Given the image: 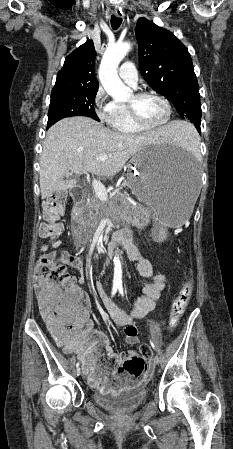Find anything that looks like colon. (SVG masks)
Listing matches in <instances>:
<instances>
[{"instance_id":"obj_1","label":"colon","mask_w":233,"mask_h":449,"mask_svg":"<svg viewBox=\"0 0 233 449\" xmlns=\"http://www.w3.org/2000/svg\"><path fill=\"white\" fill-rule=\"evenodd\" d=\"M65 193H57L47 198L44 211L46 223L43 225L42 236L48 240L45 248L47 254L37 262L34 278L39 294L41 313L49 324L53 337L57 342L89 333L91 321L88 316V299L78 288L73 278L64 272L62 266L54 265V238L60 230L59 218L64 211ZM193 281L191 276L183 284L178 296L173 301L168 317V325L176 328L183 316L192 296ZM92 335L88 344H94ZM151 354L146 343L139 346L138 352L129 354L118 367V372L125 375H141L145 369V360Z\"/></svg>"}]
</instances>
